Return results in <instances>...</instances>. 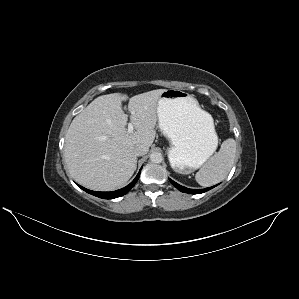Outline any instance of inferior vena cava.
<instances>
[{"label": "inferior vena cava", "mask_w": 299, "mask_h": 299, "mask_svg": "<svg viewBox=\"0 0 299 299\" xmlns=\"http://www.w3.org/2000/svg\"><path fill=\"white\" fill-rule=\"evenodd\" d=\"M148 152V148L145 145H137L134 148V154L136 156H143Z\"/></svg>", "instance_id": "inferior-vena-cava-1"}]
</instances>
